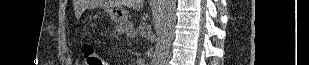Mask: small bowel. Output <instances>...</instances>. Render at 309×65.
I'll return each mask as SVG.
<instances>
[{
    "label": "small bowel",
    "mask_w": 309,
    "mask_h": 65,
    "mask_svg": "<svg viewBox=\"0 0 309 65\" xmlns=\"http://www.w3.org/2000/svg\"><path fill=\"white\" fill-rule=\"evenodd\" d=\"M103 64H104V65H109L108 62H105V61H103Z\"/></svg>",
    "instance_id": "obj_1"
}]
</instances>
